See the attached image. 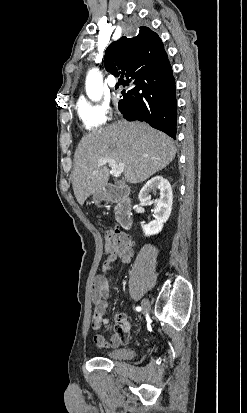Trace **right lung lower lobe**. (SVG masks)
I'll return each instance as SVG.
<instances>
[{
    "label": "right lung lower lobe",
    "instance_id": "right-lung-lower-lobe-1",
    "mask_svg": "<svg viewBox=\"0 0 247 413\" xmlns=\"http://www.w3.org/2000/svg\"><path fill=\"white\" fill-rule=\"evenodd\" d=\"M131 79L135 87L124 93L118 103L123 117L129 121H145L176 139L177 102L169 61Z\"/></svg>",
    "mask_w": 247,
    "mask_h": 413
}]
</instances>
